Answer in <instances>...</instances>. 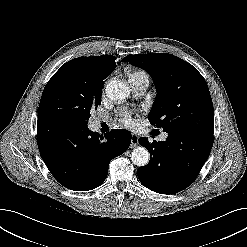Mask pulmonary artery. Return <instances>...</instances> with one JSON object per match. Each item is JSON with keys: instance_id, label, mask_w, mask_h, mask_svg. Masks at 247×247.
<instances>
[{"instance_id": "obj_1", "label": "pulmonary artery", "mask_w": 247, "mask_h": 247, "mask_svg": "<svg viewBox=\"0 0 247 247\" xmlns=\"http://www.w3.org/2000/svg\"><path fill=\"white\" fill-rule=\"evenodd\" d=\"M129 83H130L132 94L135 97H139L143 95L145 90L148 88L150 80L147 74H141V75H137V76L129 78ZM99 124H100V121L96 120L95 125L98 126ZM166 137L167 135L163 134L161 136V139L164 140L166 139Z\"/></svg>"}]
</instances>
